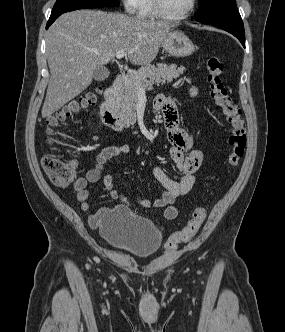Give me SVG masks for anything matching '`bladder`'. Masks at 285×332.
Masks as SVG:
<instances>
[{
    "mask_svg": "<svg viewBox=\"0 0 285 332\" xmlns=\"http://www.w3.org/2000/svg\"><path fill=\"white\" fill-rule=\"evenodd\" d=\"M99 231L112 247L135 258L154 255L163 244V229L159 225L123 205L105 213Z\"/></svg>",
    "mask_w": 285,
    "mask_h": 332,
    "instance_id": "31cf9c89",
    "label": "bladder"
}]
</instances>
